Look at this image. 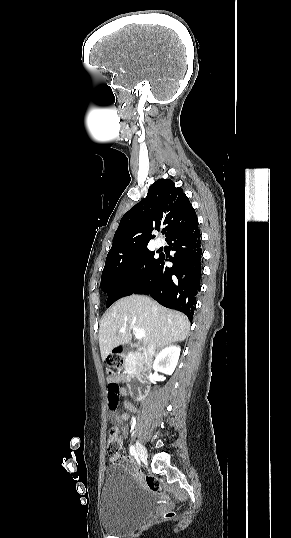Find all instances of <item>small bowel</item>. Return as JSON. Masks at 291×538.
Segmentation results:
<instances>
[{"label": "small bowel", "mask_w": 291, "mask_h": 538, "mask_svg": "<svg viewBox=\"0 0 291 538\" xmlns=\"http://www.w3.org/2000/svg\"><path fill=\"white\" fill-rule=\"evenodd\" d=\"M127 380H128V377L126 375L113 376V377L108 378V384H110V383H116V384L124 383ZM119 395L121 397L125 398L124 407L128 411L135 412L136 411L135 406L129 400L126 399L127 392H126L125 388L119 387ZM109 418H110L111 422L115 425V427L118 429V432H119L120 436L122 437V439H124L125 436L128 433V427L125 424V422L129 420V414L126 413V412H124L122 414H118L116 411H111L110 414H109ZM110 461L113 462V463L119 462V463L125 464L128 467H130V465H131L130 460L126 456H124L122 454H117L115 456H111Z\"/></svg>", "instance_id": "obj_1"}]
</instances>
